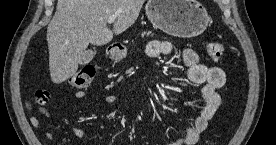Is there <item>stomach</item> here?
Segmentation results:
<instances>
[{
	"instance_id": "obj_1",
	"label": "stomach",
	"mask_w": 276,
	"mask_h": 145,
	"mask_svg": "<svg viewBox=\"0 0 276 145\" xmlns=\"http://www.w3.org/2000/svg\"><path fill=\"white\" fill-rule=\"evenodd\" d=\"M145 11L154 28L181 38L202 34L209 23L206 9L197 0H149ZM110 58L118 62L123 54L112 49Z\"/></svg>"
}]
</instances>
